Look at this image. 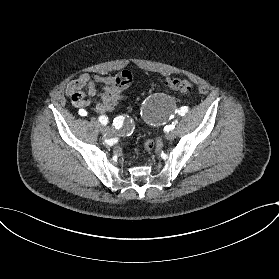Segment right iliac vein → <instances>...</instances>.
Instances as JSON below:
<instances>
[{"mask_svg": "<svg viewBox=\"0 0 279 279\" xmlns=\"http://www.w3.org/2000/svg\"><path fill=\"white\" fill-rule=\"evenodd\" d=\"M99 131L102 133V134H105V133H111L110 132V129L108 127H104V126H100L99 127Z\"/></svg>", "mask_w": 279, "mask_h": 279, "instance_id": "obj_1", "label": "right iliac vein"}]
</instances>
